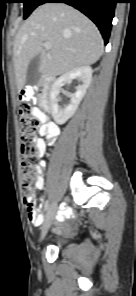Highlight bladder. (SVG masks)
I'll return each mask as SVG.
<instances>
[{"label":"bladder","instance_id":"obj_1","mask_svg":"<svg viewBox=\"0 0 136 296\" xmlns=\"http://www.w3.org/2000/svg\"><path fill=\"white\" fill-rule=\"evenodd\" d=\"M69 239H70L69 236H61V237L58 238V242H60V243H65V242H67Z\"/></svg>","mask_w":136,"mask_h":296}]
</instances>
